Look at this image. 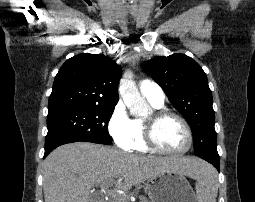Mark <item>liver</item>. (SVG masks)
<instances>
[{
	"mask_svg": "<svg viewBox=\"0 0 255 202\" xmlns=\"http://www.w3.org/2000/svg\"><path fill=\"white\" fill-rule=\"evenodd\" d=\"M204 163L195 157H152L125 153L113 147L76 142L52 151L43 163L45 202H93L90 189L114 178L116 187L133 185L164 172L196 177Z\"/></svg>",
	"mask_w": 255,
	"mask_h": 202,
	"instance_id": "1",
	"label": "liver"
}]
</instances>
